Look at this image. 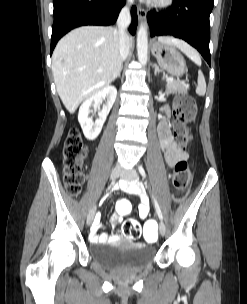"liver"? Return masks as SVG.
<instances>
[{"mask_svg": "<svg viewBox=\"0 0 247 304\" xmlns=\"http://www.w3.org/2000/svg\"><path fill=\"white\" fill-rule=\"evenodd\" d=\"M159 41L185 54L197 53L180 39L160 37ZM119 47L118 31L112 27L83 26L60 39L52 55V72L69 113L116 78L122 64Z\"/></svg>", "mask_w": 247, "mask_h": 304, "instance_id": "1", "label": "liver"}]
</instances>
